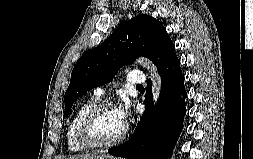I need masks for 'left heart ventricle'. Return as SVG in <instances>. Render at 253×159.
Here are the masks:
<instances>
[{"instance_id": "1", "label": "left heart ventricle", "mask_w": 253, "mask_h": 159, "mask_svg": "<svg viewBox=\"0 0 253 159\" xmlns=\"http://www.w3.org/2000/svg\"><path fill=\"white\" fill-rule=\"evenodd\" d=\"M93 134L98 141L107 142L117 138L124 127L119 119L117 109H105L93 123Z\"/></svg>"}]
</instances>
